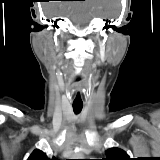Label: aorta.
Wrapping results in <instances>:
<instances>
[{
  "mask_svg": "<svg viewBox=\"0 0 160 160\" xmlns=\"http://www.w3.org/2000/svg\"><path fill=\"white\" fill-rule=\"evenodd\" d=\"M75 157L76 158H74V159H83L81 154H77V155H75Z\"/></svg>",
  "mask_w": 160,
  "mask_h": 160,
  "instance_id": "1",
  "label": "aorta"
}]
</instances>
